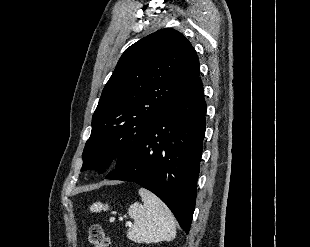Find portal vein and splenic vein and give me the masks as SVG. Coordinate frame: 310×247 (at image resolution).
Segmentation results:
<instances>
[{"mask_svg":"<svg viewBox=\"0 0 310 247\" xmlns=\"http://www.w3.org/2000/svg\"><path fill=\"white\" fill-rule=\"evenodd\" d=\"M122 220V219H121ZM127 225H131V223H127Z\"/></svg>","mask_w":310,"mask_h":247,"instance_id":"obj_1","label":"portal vein and splenic vein"}]
</instances>
